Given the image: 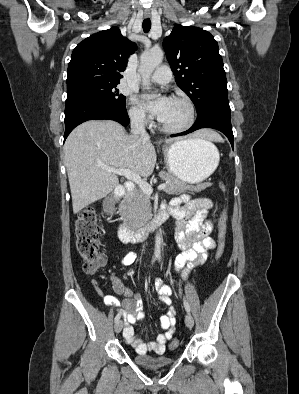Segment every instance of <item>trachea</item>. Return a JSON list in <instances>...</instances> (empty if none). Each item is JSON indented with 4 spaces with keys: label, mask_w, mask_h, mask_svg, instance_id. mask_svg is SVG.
<instances>
[{
    "label": "trachea",
    "mask_w": 299,
    "mask_h": 394,
    "mask_svg": "<svg viewBox=\"0 0 299 394\" xmlns=\"http://www.w3.org/2000/svg\"><path fill=\"white\" fill-rule=\"evenodd\" d=\"M151 29V21L149 18L144 19L143 21V31L148 33Z\"/></svg>",
    "instance_id": "3493384b"
}]
</instances>
